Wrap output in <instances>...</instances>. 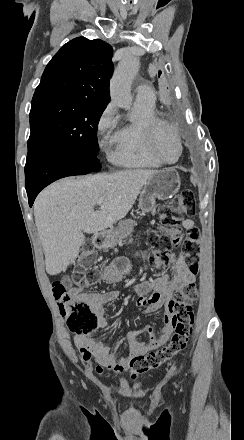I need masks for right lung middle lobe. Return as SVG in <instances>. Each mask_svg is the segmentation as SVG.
<instances>
[{"label":"right lung middle lobe","instance_id":"1","mask_svg":"<svg viewBox=\"0 0 244 440\" xmlns=\"http://www.w3.org/2000/svg\"><path fill=\"white\" fill-rule=\"evenodd\" d=\"M105 107L87 100L32 101L28 148L52 146L97 157V127Z\"/></svg>","mask_w":244,"mask_h":440}]
</instances>
